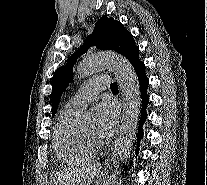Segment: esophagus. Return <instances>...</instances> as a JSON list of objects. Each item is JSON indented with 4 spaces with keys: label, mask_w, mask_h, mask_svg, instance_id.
Listing matches in <instances>:
<instances>
[{
    "label": "esophagus",
    "mask_w": 207,
    "mask_h": 185,
    "mask_svg": "<svg viewBox=\"0 0 207 185\" xmlns=\"http://www.w3.org/2000/svg\"><path fill=\"white\" fill-rule=\"evenodd\" d=\"M110 157H113V155L112 154H110L108 157H107V159L105 160V162H104V164H102V169H105V170H107V167H108V165H109V158ZM115 166H118V165H115Z\"/></svg>",
    "instance_id": "obj_1"
}]
</instances>
